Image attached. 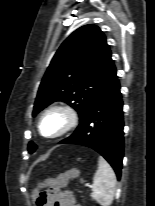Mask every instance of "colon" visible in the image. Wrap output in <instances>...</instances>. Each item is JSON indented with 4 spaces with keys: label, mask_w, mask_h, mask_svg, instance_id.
Masks as SVG:
<instances>
[{
    "label": "colon",
    "mask_w": 155,
    "mask_h": 206,
    "mask_svg": "<svg viewBox=\"0 0 155 206\" xmlns=\"http://www.w3.org/2000/svg\"><path fill=\"white\" fill-rule=\"evenodd\" d=\"M67 177L65 174H60L55 179H47L44 181V186L48 187V189L62 188L64 183L66 182ZM46 201V194L41 192L37 195V204L38 206H42Z\"/></svg>",
    "instance_id": "obj_1"
}]
</instances>
